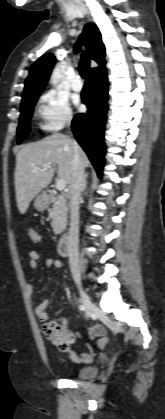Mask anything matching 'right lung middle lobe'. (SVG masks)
<instances>
[{"mask_svg":"<svg viewBox=\"0 0 165 419\" xmlns=\"http://www.w3.org/2000/svg\"><path fill=\"white\" fill-rule=\"evenodd\" d=\"M40 94H36L21 103L19 125L17 128V143L20 144L28 135L30 128L29 122L33 113V108Z\"/></svg>","mask_w":165,"mask_h":419,"instance_id":"right-lung-middle-lobe-1","label":"right lung middle lobe"}]
</instances>
